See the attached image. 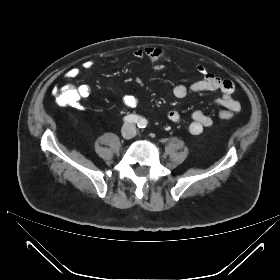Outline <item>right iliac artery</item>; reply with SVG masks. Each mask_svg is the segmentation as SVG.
I'll return each mask as SVG.
<instances>
[{"instance_id": "1", "label": "right iliac artery", "mask_w": 280, "mask_h": 280, "mask_svg": "<svg viewBox=\"0 0 280 280\" xmlns=\"http://www.w3.org/2000/svg\"><path fill=\"white\" fill-rule=\"evenodd\" d=\"M123 121L126 123H137L140 121V117L135 114L127 115L123 118Z\"/></svg>"}]
</instances>
